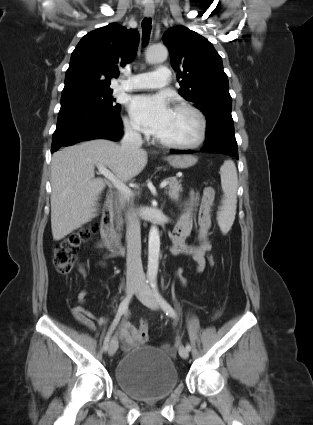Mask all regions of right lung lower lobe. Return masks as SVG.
Wrapping results in <instances>:
<instances>
[{
    "label": "right lung lower lobe",
    "instance_id": "1",
    "mask_svg": "<svg viewBox=\"0 0 313 425\" xmlns=\"http://www.w3.org/2000/svg\"><path fill=\"white\" fill-rule=\"evenodd\" d=\"M119 112L83 100H61L51 152L96 138L118 140L123 129Z\"/></svg>",
    "mask_w": 313,
    "mask_h": 425
}]
</instances>
